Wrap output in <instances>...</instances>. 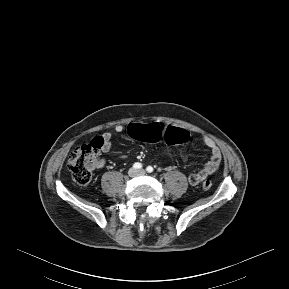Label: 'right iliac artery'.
<instances>
[{"mask_svg": "<svg viewBox=\"0 0 289 289\" xmlns=\"http://www.w3.org/2000/svg\"><path fill=\"white\" fill-rule=\"evenodd\" d=\"M133 168H135V169H141V168H142V164L139 163V162H136V163L133 164Z\"/></svg>", "mask_w": 289, "mask_h": 289, "instance_id": "right-iliac-artery-1", "label": "right iliac artery"}]
</instances>
